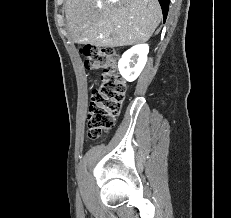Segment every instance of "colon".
<instances>
[{"label":"colon","mask_w":231,"mask_h":218,"mask_svg":"<svg viewBox=\"0 0 231 218\" xmlns=\"http://www.w3.org/2000/svg\"><path fill=\"white\" fill-rule=\"evenodd\" d=\"M81 53L87 69L101 71L100 83L92 91L87 114V134L89 138L97 139L114 126L126 84L117 71L119 55L115 49L87 45Z\"/></svg>","instance_id":"1"}]
</instances>
